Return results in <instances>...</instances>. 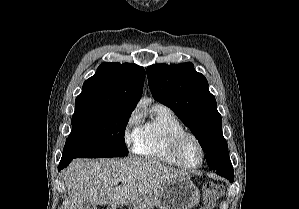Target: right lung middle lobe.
Returning a JSON list of instances; mask_svg holds the SVG:
<instances>
[{"instance_id":"right-lung-middle-lobe-1","label":"right lung middle lobe","mask_w":299,"mask_h":209,"mask_svg":"<svg viewBox=\"0 0 299 209\" xmlns=\"http://www.w3.org/2000/svg\"><path fill=\"white\" fill-rule=\"evenodd\" d=\"M131 111L75 108L62 159L128 155L124 133Z\"/></svg>"}]
</instances>
